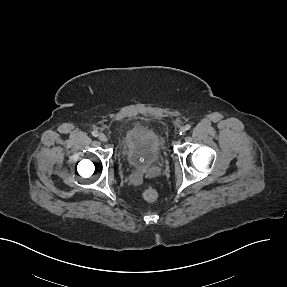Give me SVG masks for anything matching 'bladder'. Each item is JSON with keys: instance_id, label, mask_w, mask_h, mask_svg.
I'll return each mask as SVG.
<instances>
[{"instance_id": "obj_1", "label": "bladder", "mask_w": 287, "mask_h": 287, "mask_svg": "<svg viewBox=\"0 0 287 287\" xmlns=\"http://www.w3.org/2000/svg\"><path fill=\"white\" fill-rule=\"evenodd\" d=\"M162 150V138L154 130L141 125L127 129L120 140V157L134 168L154 164Z\"/></svg>"}]
</instances>
